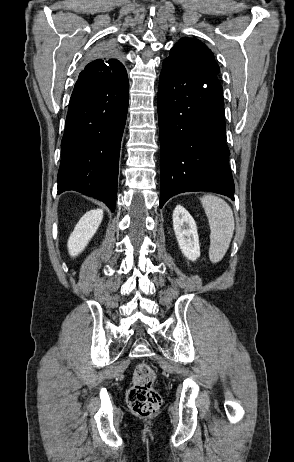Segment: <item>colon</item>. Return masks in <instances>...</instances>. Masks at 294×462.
Instances as JSON below:
<instances>
[{
  "label": "colon",
  "mask_w": 294,
  "mask_h": 462,
  "mask_svg": "<svg viewBox=\"0 0 294 462\" xmlns=\"http://www.w3.org/2000/svg\"><path fill=\"white\" fill-rule=\"evenodd\" d=\"M155 380V371L149 364L140 363L136 366L133 385L127 393V403L135 414L149 417L160 409L162 397L154 389Z\"/></svg>",
  "instance_id": "colon-1"
}]
</instances>
